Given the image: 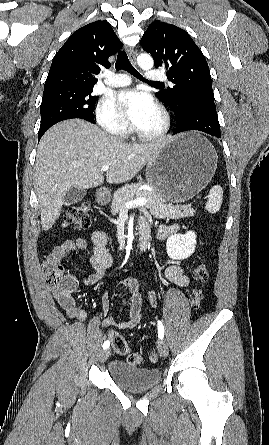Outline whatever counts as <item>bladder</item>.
I'll return each mask as SVG.
<instances>
[{
  "label": "bladder",
  "instance_id": "1",
  "mask_svg": "<svg viewBox=\"0 0 269 445\" xmlns=\"http://www.w3.org/2000/svg\"><path fill=\"white\" fill-rule=\"evenodd\" d=\"M108 370L115 384L128 391L148 390L161 379V371L158 368H139L119 360L110 362Z\"/></svg>",
  "mask_w": 269,
  "mask_h": 445
}]
</instances>
